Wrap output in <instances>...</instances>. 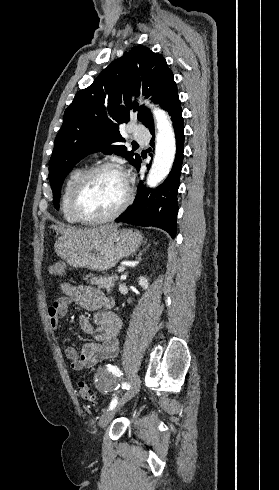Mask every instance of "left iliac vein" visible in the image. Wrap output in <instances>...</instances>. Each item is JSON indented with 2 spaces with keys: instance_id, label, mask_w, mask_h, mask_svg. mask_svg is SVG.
<instances>
[{
  "instance_id": "4c4485c4",
  "label": "left iliac vein",
  "mask_w": 279,
  "mask_h": 490,
  "mask_svg": "<svg viewBox=\"0 0 279 490\" xmlns=\"http://www.w3.org/2000/svg\"><path fill=\"white\" fill-rule=\"evenodd\" d=\"M128 380L132 384L130 390L125 392L122 395V398L119 400V404L115 410H109L101 416V418L99 420V426L101 428H105L108 425V423L113 419L115 414L118 411H120L121 407L123 405H125L129 400H131L139 392V388L141 385L140 376L135 374L133 377L129 378Z\"/></svg>"
}]
</instances>
